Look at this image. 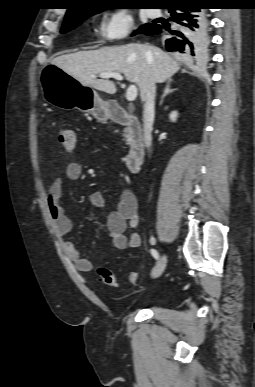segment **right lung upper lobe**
Listing matches in <instances>:
<instances>
[{
    "instance_id": "right-lung-upper-lobe-1",
    "label": "right lung upper lobe",
    "mask_w": 255,
    "mask_h": 387,
    "mask_svg": "<svg viewBox=\"0 0 255 387\" xmlns=\"http://www.w3.org/2000/svg\"><path fill=\"white\" fill-rule=\"evenodd\" d=\"M73 7H70L66 13L65 17L77 16L88 11L94 10H104V8H99L100 5L105 4H117V1L121 0H75ZM167 3H172L178 0H165Z\"/></svg>"
}]
</instances>
